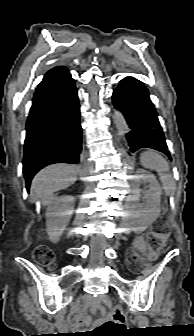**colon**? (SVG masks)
Returning a JSON list of instances; mask_svg holds the SVG:
<instances>
[{
  "label": "colon",
  "mask_w": 194,
  "mask_h": 336,
  "mask_svg": "<svg viewBox=\"0 0 194 336\" xmlns=\"http://www.w3.org/2000/svg\"><path fill=\"white\" fill-rule=\"evenodd\" d=\"M171 229L164 220H159L154 228L148 233L146 241L149 249V257L156 256L164 247ZM34 259L43 266H54V254L43 245H39L34 249ZM141 256L137 251L131 250L127 255V262L130 268L137 269ZM126 316L120 305H115L110 313V318L100 325L90 336H111L125 328Z\"/></svg>",
  "instance_id": "obj_1"
}]
</instances>
